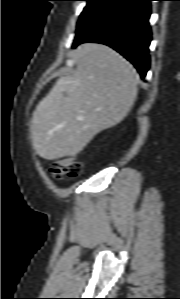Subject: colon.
I'll use <instances>...</instances> for the list:
<instances>
[{
	"label": "colon",
	"instance_id": "obj_1",
	"mask_svg": "<svg viewBox=\"0 0 180 299\" xmlns=\"http://www.w3.org/2000/svg\"><path fill=\"white\" fill-rule=\"evenodd\" d=\"M82 172V165L72 157L56 160L51 167V174L55 179L75 178Z\"/></svg>",
	"mask_w": 180,
	"mask_h": 299
}]
</instances>
